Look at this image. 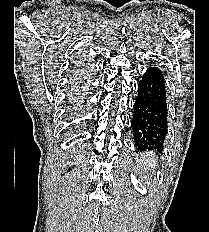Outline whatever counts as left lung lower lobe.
Here are the masks:
<instances>
[{
    "mask_svg": "<svg viewBox=\"0 0 209 232\" xmlns=\"http://www.w3.org/2000/svg\"><path fill=\"white\" fill-rule=\"evenodd\" d=\"M168 109L161 70L150 67L144 73L135 98L132 129L138 149L163 148L167 135Z\"/></svg>",
    "mask_w": 209,
    "mask_h": 232,
    "instance_id": "left-lung-lower-lobe-1",
    "label": "left lung lower lobe"
}]
</instances>
